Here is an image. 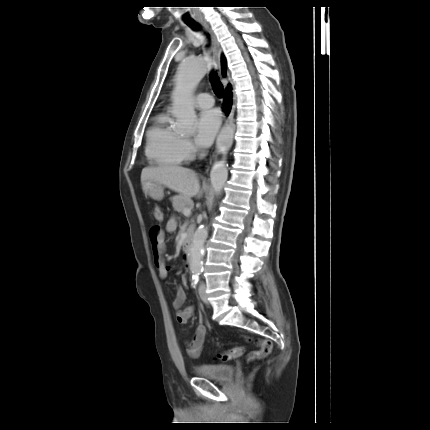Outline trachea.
I'll return each mask as SVG.
<instances>
[{"instance_id":"trachea-1","label":"trachea","mask_w":430,"mask_h":430,"mask_svg":"<svg viewBox=\"0 0 430 430\" xmlns=\"http://www.w3.org/2000/svg\"><path fill=\"white\" fill-rule=\"evenodd\" d=\"M190 26H191L192 28H194V29L198 27L196 24H191ZM210 82H211L212 88H213V90H214V93H215L217 96H221V95H222V93H223V85H222V83L220 82V80H219V78H218L217 74H215V73H211V76H210Z\"/></svg>"}]
</instances>
